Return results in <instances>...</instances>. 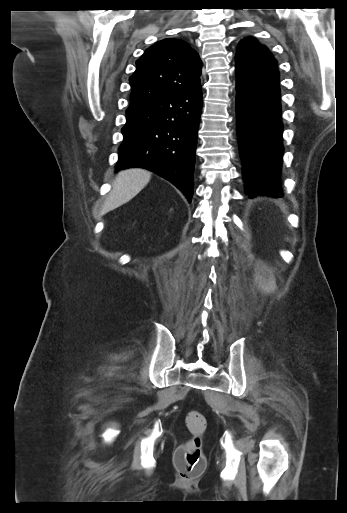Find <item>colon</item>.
I'll list each match as a JSON object with an SVG mask.
<instances>
[{
  "instance_id": "colon-1",
  "label": "colon",
  "mask_w": 347,
  "mask_h": 513,
  "mask_svg": "<svg viewBox=\"0 0 347 513\" xmlns=\"http://www.w3.org/2000/svg\"><path fill=\"white\" fill-rule=\"evenodd\" d=\"M185 424L191 433V437L181 446L175 458V464L182 477L192 479L199 476L205 468L202 437L207 422L203 414L192 410L186 414Z\"/></svg>"
}]
</instances>
